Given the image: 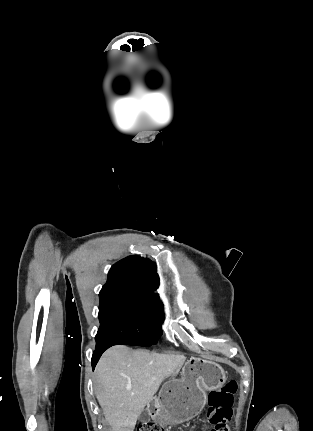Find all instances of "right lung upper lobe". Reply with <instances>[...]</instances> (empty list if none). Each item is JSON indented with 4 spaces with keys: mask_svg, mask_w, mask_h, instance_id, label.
<instances>
[{
    "mask_svg": "<svg viewBox=\"0 0 313 431\" xmlns=\"http://www.w3.org/2000/svg\"><path fill=\"white\" fill-rule=\"evenodd\" d=\"M159 277L147 258L128 256L112 266L99 296L116 294L149 302L162 308L158 294Z\"/></svg>",
    "mask_w": 313,
    "mask_h": 431,
    "instance_id": "right-lung-upper-lobe-1",
    "label": "right lung upper lobe"
}]
</instances>
